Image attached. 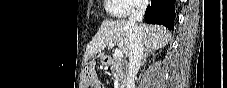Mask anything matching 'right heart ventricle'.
Masks as SVG:
<instances>
[{
    "label": "right heart ventricle",
    "mask_w": 227,
    "mask_h": 88,
    "mask_svg": "<svg viewBox=\"0 0 227 88\" xmlns=\"http://www.w3.org/2000/svg\"><path fill=\"white\" fill-rule=\"evenodd\" d=\"M105 7L107 12L114 18L126 16V4L124 0H106Z\"/></svg>",
    "instance_id": "obj_1"
}]
</instances>
